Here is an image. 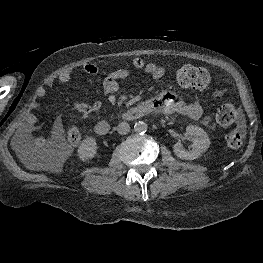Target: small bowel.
I'll return each mask as SVG.
<instances>
[{
    "label": "small bowel",
    "instance_id": "obj_1",
    "mask_svg": "<svg viewBox=\"0 0 263 263\" xmlns=\"http://www.w3.org/2000/svg\"><path fill=\"white\" fill-rule=\"evenodd\" d=\"M133 69L141 74L150 75L154 82L160 81L165 75L166 70L164 67L157 65L153 62H146L142 58H135L132 61ZM82 70L87 75H96L99 72L97 65L87 63L82 67ZM132 75V71L129 69H116L107 74L102 82V90L104 94H111L118 90L121 80L127 79ZM57 80L61 83H67L71 80L70 72H62L57 76ZM46 91L44 88H40L37 91L39 98L44 97ZM151 106L152 111H159L164 114H180L190 117L192 119H201L202 123L207 127H212L213 122L209 116L203 115L202 106L198 101L187 102L180 98L177 94L172 92H161L155 98L146 101ZM102 102L96 100L91 104L74 101L73 107L78 112L88 115L90 113L100 110ZM36 118L33 115H29L26 120V125L22 130V137L30 140L36 147L42 149H49L60 145L64 138V129L60 122L54 124L53 130L49 137H32L31 133L35 128Z\"/></svg>",
    "mask_w": 263,
    "mask_h": 263
}]
</instances>
